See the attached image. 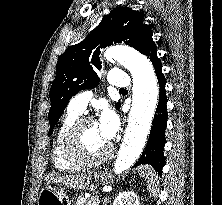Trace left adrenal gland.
<instances>
[{"label": "left adrenal gland", "instance_id": "left-adrenal-gland-1", "mask_svg": "<svg viewBox=\"0 0 222 205\" xmlns=\"http://www.w3.org/2000/svg\"><path fill=\"white\" fill-rule=\"evenodd\" d=\"M108 202H109V198H104L103 205H107Z\"/></svg>", "mask_w": 222, "mask_h": 205}]
</instances>
